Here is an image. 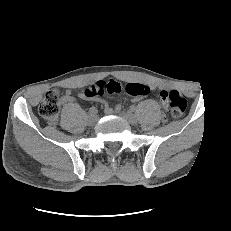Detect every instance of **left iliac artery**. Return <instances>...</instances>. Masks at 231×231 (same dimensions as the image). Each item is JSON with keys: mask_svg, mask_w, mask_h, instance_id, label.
<instances>
[{"mask_svg": "<svg viewBox=\"0 0 231 231\" xmlns=\"http://www.w3.org/2000/svg\"><path fill=\"white\" fill-rule=\"evenodd\" d=\"M130 110H131L132 112H134V111L136 110V107H135V106H131V107H130Z\"/></svg>", "mask_w": 231, "mask_h": 231, "instance_id": "left-iliac-artery-1", "label": "left iliac artery"}]
</instances>
